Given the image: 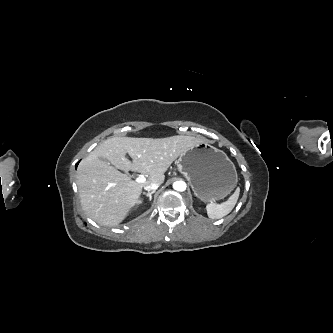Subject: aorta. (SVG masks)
<instances>
[{
	"label": "aorta",
	"instance_id": "obj_1",
	"mask_svg": "<svg viewBox=\"0 0 333 333\" xmlns=\"http://www.w3.org/2000/svg\"><path fill=\"white\" fill-rule=\"evenodd\" d=\"M186 183L184 181H176L173 183V188L176 191H185L186 190Z\"/></svg>",
	"mask_w": 333,
	"mask_h": 333
}]
</instances>
